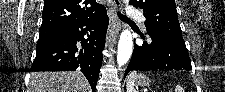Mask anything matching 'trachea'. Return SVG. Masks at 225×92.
Here are the masks:
<instances>
[{
	"mask_svg": "<svg viewBox=\"0 0 225 92\" xmlns=\"http://www.w3.org/2000/svg\"><path fill=\"white\" fill-rule=\"evenodd\" d=\"M117 14H118V17L121 18V19H129L128 17H126L125 15H123L119 12Z\"/></svg>",
	"mask_w": 225,
	"mask_h": 92,
	"instance_id": "obj_1",
	"label": "trachea"
}]
</instances>
